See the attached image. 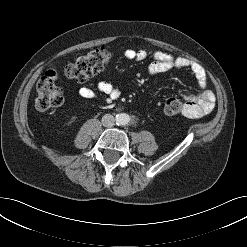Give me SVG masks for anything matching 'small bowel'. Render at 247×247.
Here are the masks:
<instances>
[{
  "label": "small bowel",
  "instance_id": "c3829d8e",
  "mask_svg": "<svg viewBox=\"0 0 247 247\" xmlns=\"http://www.w3.org/2000/svg\"><path fill=\"white\" fill-rule=\"evenodd\" d=\"M124 56L128 60L143 61L149 57L146 50H126ZM153 61L148 67V72L156 75L170 69L188 70L194 76L199 91L196 95H185V109L183 115L188 118H200L214 108V95L211 90L206 88L207 74L204 68L196 62L190 61L184 57H175L164 51H155L152 54ZM97 91L116 99L119 96V90L112 84L101 81L97 84ZM81 97L85 99H94L96 92L90 88H81L79 91Z\"/></svg>",
  "mask_w": 247,
  "mask_h": 247
}]
</instances>
